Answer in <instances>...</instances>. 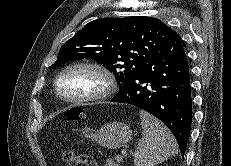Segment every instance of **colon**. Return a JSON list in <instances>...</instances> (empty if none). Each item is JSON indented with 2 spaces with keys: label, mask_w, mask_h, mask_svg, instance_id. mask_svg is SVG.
I'll return each mask as SVG.
<instances>
[{
  "label": "colon",
  "mask_w": 231,
  "mask_h": 166,
  "mask_svg": "<svg viewBox=\"0 0 231 166\" xmlns=\"http://www.w3.org/2000/svg\"><path fill=\"white\" fill-rule=\"evenodd\" d=\"M66 115L70 120H77L84 116V111L79 108H73L68 110ZM62 159L67 166H96L95 161L90 156L78 154L70 150L63 151Z\"/></svg>",
  "instance_id": "colon-1"
}]
</instances>
